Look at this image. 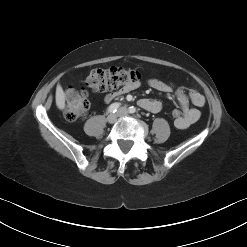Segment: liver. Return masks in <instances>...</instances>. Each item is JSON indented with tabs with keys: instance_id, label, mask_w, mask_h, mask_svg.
<instances>
[{
	"instance_id": "6515ba94",
	"label": "liver",
	"mask_w": 247,
	"mask_h": 247,
	"mask_svg": "<svg viewBox=\"0 0 247 247\" xmlns=\"http://www.w3.org/2000/svg\"><path fill=\"white\" fill-rule=\"evenodd\" d=\"M56 105L60 110L65 108V93L60 84L56 87Z\"/></svg>"
}]
</instances>
